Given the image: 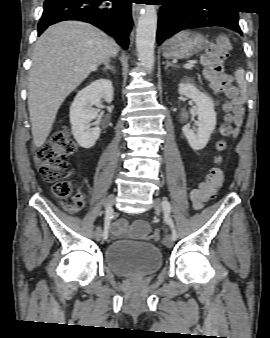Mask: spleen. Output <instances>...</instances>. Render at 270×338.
I'll use <instances>...</instances> for the list:
<instances>
[{"mask_svg":"<svg viewBox=\"0 0 270 338\" xmlns=\"http://www.w3.org/2000/svg\"><path fill=\"white\" fill-rule=\"evenodd\" d=\"M234 76H235L236 82H237V84L240 88V94H241L242 98H245L247 83H246L245 78H244V70L242 68L237 69L234 73Z\"/></svg>","mask_w":270,"mask_h":338,"instance_id":"obj_1","label":"spleen"}]
</instances>
